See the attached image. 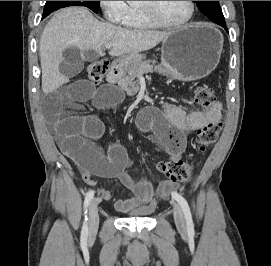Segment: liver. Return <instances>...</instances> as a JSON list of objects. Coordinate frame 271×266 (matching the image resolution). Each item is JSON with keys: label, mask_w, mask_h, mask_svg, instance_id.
<instances>
[{"label": "liver", "mask_w": 271, "mask_h": 266, "mask_svg": "<svg viewBox=\"0 0 271 266\" xmlns=\"http://www.w3.org/2000/svg\"><path fill=\"white\" fill-rule=\"evenodd\" d=\"M171 32L136 30L98 21L83 7L62 9L50 19L40 39L42 90L49 94L68 82L59 70L63 52L69 47L103 55V48L112 44L109 54L124 56L147 51L158 45Z\"/></svg>", "instance_id": "6515ba94"}]
</instances>
